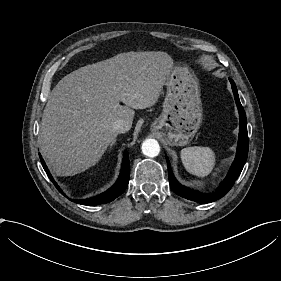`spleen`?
I'll return each instance as SVG.
<instances>
[{
	"label": "spleen",
	"mask_w": 281,
	"mask_h": 281,
	"mask_svg": "<svg viewBox=\"0 0 281 281\" xmlns=\"http://www.w3.org/2000/svg\"><path fill=\"white\" fill-rule=\"evenodd\" d=\"M179 154L185 170L199 178L211 175L216 166V154L210 147L183 148Z\"/></svg>",
	"instance_id": "spleen-1"
}]
</instances>
